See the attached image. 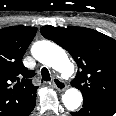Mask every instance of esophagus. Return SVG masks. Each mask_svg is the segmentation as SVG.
<instances>
[{"instance_id":"34e87169","label":"esophagus","mask_w":116,"mask_h":116,"mask_svg":"<svg viewBox=\"0 0 116 116\" xmlns=\"http://www.w3.org/2000/svg\"><path fill=\"white\" fill-rule=\"evenodd\" d=\"M53 86L58 91H64L67 88L66 83L59 78H54L53 79Z\"/></svg>"}]
</instances>
